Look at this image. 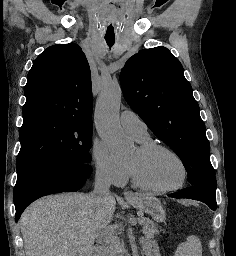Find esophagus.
I'll return each instance as SVG.
<instances>
[{
  "mask_svg": "<svg viewBox=\"0 0 236 256\" xmlns=\"http://www.w3.org/2000/svg\"><path fill=\"white\" fill-rule=\"evenodd\" d=\"M124 196L126 199H135L136 195L132 191H125Z\"/></svg>",
  "mask_w": 236,
  "mask_h": 256,
  "instance_id": "esophagus-1",
  "label": "esophagus"
}]
</instances>
